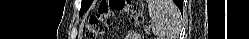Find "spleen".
<instances>
[{
    "mask_svg": "<svg viewBox=\"0 0 249 39\" xmlns=\"http://www.w3.org/2000/svg\"><path fill=\"white\" fill-rule=\"evenodd\" d=\"M148 9L153 33L160 39L170 36L172 21L176 22L179 18L177 8H170V1L148 0Z\"/></svg>",
    "mask_w": 249,
    "mask_h": 39,
    "instance_id": "spleen-1",
    "label": "spleen"
}]
</instances>
